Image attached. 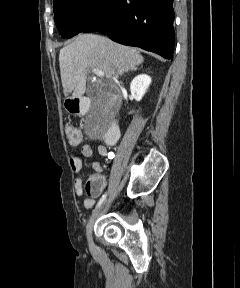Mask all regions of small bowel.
Segmentation results:
<instances>
[{
  "label": "small bowel",
  "mask_w": 240,
  "mask_h": 288,
  "mask_svg": "<svg viewBox=\"0 0 240 288\" xmlns=\"http://www.w3.org/2000/svg\"><path fill=\"white\" fill-rule=\"evenodd\" d=\"M94 147L91 144H84L79 151V154L72 155L70 157V166L73 173L76 175L74 179V187L78 196L82 197L84 195L82 180L80 178V172L82 170V160L80 155L84 157H91L93 154ZM97 151L101 156L111 157L112 154L107 150V148L103 145L97 146ZM92 169L94 170L95 174L92 176L99 183V190L93 197L99 196L106 186V178L102 174L103 168L99 162H92L91 164ZM95 203L94 198H84L83 205L85 208L90 209L93 207Z\"/></svg>",
  "instance_id": "small-bowel-1"
}]
</instances>
